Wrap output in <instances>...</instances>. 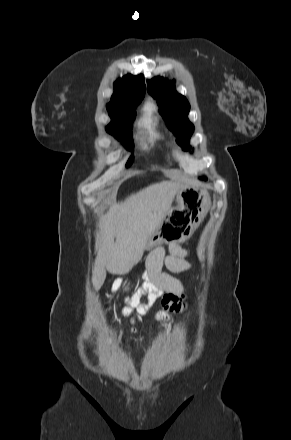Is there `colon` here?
<instances>
[{"mask_svg":"<svg viewBox=\"0 0 291 440\" xmlns=\"http://www.w3.org/2000/svg\"><path fill=\"white\" fill-rule=\"evenodd\" d=\"M93 337H94V334H93L92 331H87V332H85V338H86L87 340L92 341V340H93Z\"/></svg>","mask_w":291,"mask_h":440,"instance_id":"colon-1","label":"colon"}]
</instances>
